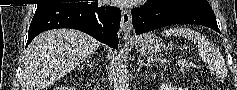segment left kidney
I'll return each mask as SVG.
<instances>
[{"label": "left kidney", "mask_w": 237, "mask_h": 90, "mask_svg": "<svg viewBox=\"0 0 237 90\" xmlns=\"http://www.w3.org/2000/svg\"><path fill=\"white\" fill-rule=\"evenodd\" d=\"M160 90H178V88L171 86V84H163V86H160Z\"/></svg>", "instance_id": "5707ae66"}]
</instances>
